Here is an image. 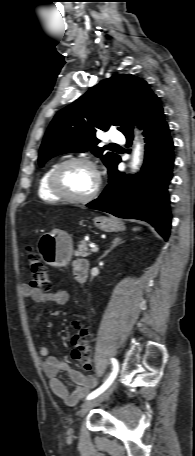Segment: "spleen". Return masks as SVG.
<instances>
[{"label":"spleen","mask_w":195,"mask_h":456,"mask_svg":"<svg viewBox=\"0 0 195 456\" xmlns=\"http://www.w3.org/2000/svg\"><path fill=\"white\" fill-rule=\"evenodd\" d=\"M133 230H134V231H137V230H139V229H138V228H133Z\"/></svg>","instance_id":"spleen-1"}]
</instances>
